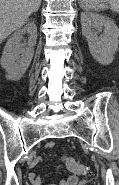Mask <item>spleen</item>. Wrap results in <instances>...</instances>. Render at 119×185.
<instances>
[{
    "instance_id": "3e777b00",
    "label": "spleen",
    "mask_w": 119,
    "mask_h": 185,
    "mask_svg": "<svg viewBox=\"0 0 119 185\" xmlns=\"http://www.w3.org/2000/svg\"><path fill=\"white\" fill-rule=\"evenodd\" d=\"M79 5L86 11H99L108 7L119 13V0H78Z\"/></svg>"
}]
</instances>
